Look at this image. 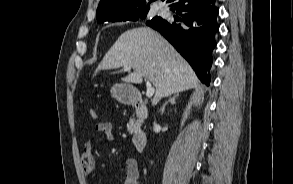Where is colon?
Masks as SVG:
<instances>
[{"label":"colon","instance_id":"5ec220e1","mask_svg":"<svg viewBox=\"0 0 293 184\" xmlns=\"http://www.w3.org/2000/svg\"><path fill=\"white\" fill-rule=\"evenodd\" d=\"M89 112H90V116L92 118H96L97 117L96 111L93 108H91Z\"/></svg>","mask_w":293,"mask_h":184}]
</instances>
